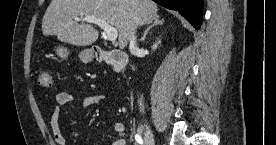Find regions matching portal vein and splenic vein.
I'll return each mask as SVG.
<instances>
[{"label":"portal vein and splenic vein","instance_id":"obj_1","mask_svg":"<svg viewBox=\"0 0 276 145\" xmlns=\"http://www.w3.org/2000/svg\"><path fill=\"white\" fill-rule=\"evenodd\" d=\"M74 19L77 21L89 22V23H94L98 25L103 29L107 39L111 42H115L118 37V32L116 28L109 25L107 22H105L100 18H96L95 16H84V17H74Z\"/></svg>","mask_w":276,"mask_h":145}]
</instances>
